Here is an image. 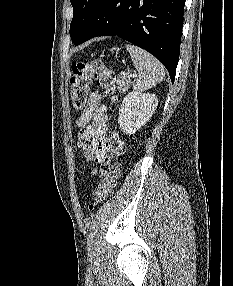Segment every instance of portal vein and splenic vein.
<instances>
[{
    "instance_id": "portal-vein-and-splenic-vein-1",
    "label": "portal vein and splenic vein",
    "mask_w": 233,
    "mask_h": 286,
    "mask_svg": "<svg viewBox=\"0 0 233 286\" xmlns=\"http://www.w3.org/2000/svg\"><path fill=\"white\" fill-rule=\"evenodd\" d=\"M124 74H125L126 76H128V77H132V74L129 73V72H125Z\"/></svg>"
}]
</instances>
